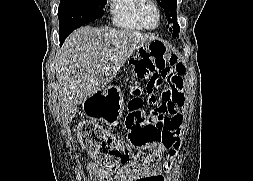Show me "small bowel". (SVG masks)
Wrapping results in <instances>:
<instances>
[{"instance_id":"c3829d8e","label":"small bowel","mask_w":253,"mask_h":181,"mask_svg":"<svg viewBox=\"0 0 253 181\" xmlns=\"http://www.w3.org/2000/svg\"><path fill=\"white\" fill-rule=\"evenodd\" d=\"M133 66L136 72L141 76L148 79L146 86V92H154L158 83L166 81L171 74L170 69H161L157 66L156 60L154 57L147 54L141 53L134 59ZM169 90L177 91L171 86L167 85ZM180 107L174 105V113L179 117L178 127L173 131V135L177 139L180 135V125L182 124V115L179 113ZM176 143L172 147H176ZM170 169V164H159L155 163L148 168L133 174V175H121L119 177H112L108 172L104 171L98 165L93 162L87 164V171L93 177L99 179L100 181H161L163 178V173L167 172Z\"/></svg>"}]
</instances>
